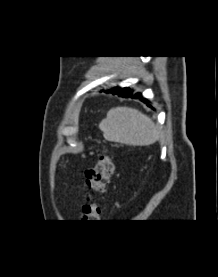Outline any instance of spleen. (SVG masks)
I'll return each instance as SVG.
<instances>
[{"mask_svg":"<svg viewBox=\"0 0 218 277\" xmlns=\"http://www.w3.org/2000/svg\"><path fill=\"white\" fill-rule=\"evenodd\" d=\"M106 140L131 146L155 143L160 133L150 117L130 107H115L99 124Z\"/></svg>","mask_w":218,"mask_h":277,"instance_id":"3e777b00","label":"spleen"}]
</instances>
